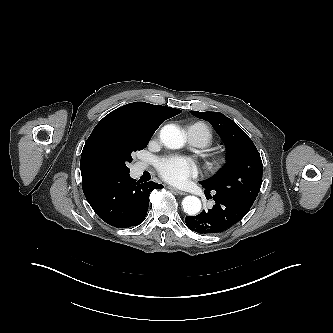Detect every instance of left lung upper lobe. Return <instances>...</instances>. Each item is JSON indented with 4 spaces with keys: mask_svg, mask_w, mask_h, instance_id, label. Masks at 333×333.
<instances>
[{
    "mask_svg": "<svg viewBox=\"0 0 333 333\" xmlns=\"http://www.w3.org/2000/svg\"><path fill=\"white\" fill-rule=\"evenodd\" d=\"M211 123L228 151L226 163L213 177L200 184L210 191L241 199L252 205L262 184V160L248 135L219 112L191 111Z\"/></svg>",
    "mask_w": 333,
    "mask_h": 333,
    "instance_id": "5c2ea615",
    "label": "left lung upper lobe"
}]
</instances>
